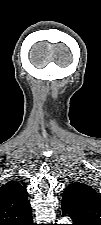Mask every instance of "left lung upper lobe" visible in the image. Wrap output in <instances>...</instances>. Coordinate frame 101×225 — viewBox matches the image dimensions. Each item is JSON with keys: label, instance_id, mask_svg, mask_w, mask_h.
Masks as SVG:
<instances>
[{"label": "left lung upper lobe", "instance_id": "obj_1", "mask_svg": "<svg viewBox=\"0 0 101 225\" xmlns=\"http://www.w3.org/2000/svg\"><path fill=\"white\" fill-rule=\"evenodd\" d=\"M64 215L85 218L101 225V198L90 186L74 182L63 193L61 203Z\"/></svg>", "mask_w": 101, "mask_h": 225}]
</instances>
